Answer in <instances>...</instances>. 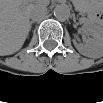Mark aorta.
I'll return each mask as SVG.
<instances>
[{
	"label": "aorta",
	"instance_id": "aorta-1",
	"mask_svg": "<svg viewBox=\"0 0 103 103\" xmlns=\"http://www.w3.org/2000/svg\"><path fill=\"white\" fill-rule=\"evenodd\" d=\"M54 16L59 20V21H65L69 18L70 16V8L67 4H58L54 8Z\"/></svg>",
	"mask_w": 103,
	"mask_h": 103
}]
</instances>
